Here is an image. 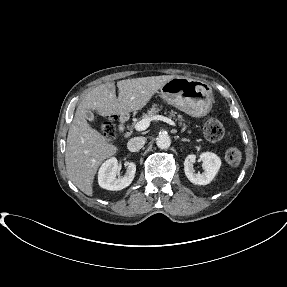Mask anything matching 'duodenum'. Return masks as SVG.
<instances>
[{"label": "duodenum", "instance_id": "410a0bca", "mask_svg": "<svg viewBox=\"0 0 287 287\" xmlns=\"http://www.w3.org/2000/svg\"><path fill=\"white\" fill-rule=\"evenodd\" d=\"M126 122H127V116L126 115H122L121 118H120V124H119V128H120L121 131H123L125 129Z\"/></svg>", "mask_w": 287, "mask_h": 287}]
</instances>
